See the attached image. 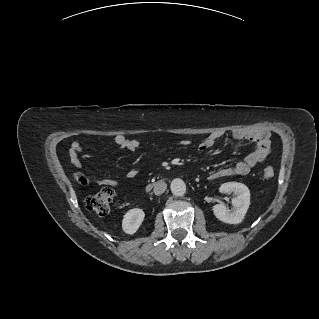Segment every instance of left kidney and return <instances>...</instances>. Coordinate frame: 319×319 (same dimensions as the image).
Instances as JSON below:
<instances>
[{
	"label": "left kidney",
	"mask_w": 319,
	"mask_h": 319,
	"mask_svg": "<svg viewBox=\"0 0 319 319\" xmlns=\"http://www.w3.org/2000/svg\"><path fill=\"white\" fill-rule=\"evenodd\" d=\"M220 191L225 194H235L232 199V209L224 204H216L212 207L215 217L228 224H238L243 219L250 206V191L246 185L238 182H227L220 186Z\"/></svg>",
	"instance_id": "1"
}]
</instances>
